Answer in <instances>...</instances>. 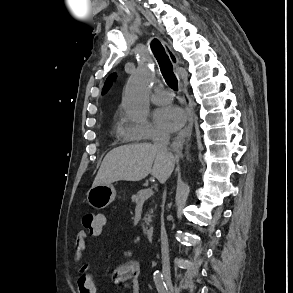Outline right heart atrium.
I'll list each match as a JSON object with an SVG mask.
<instances>
[{
  "label": "right heart atrium",
  "instance_id": "right-heart-atrium-1",
  "mask_svg": "<svg viewBox=\"0 0 293 293\" xmlns=\"http://www.w3.org/2000/svg\"><path fill=\"white\" fill-rule=\"evenodd\" d=\"M123 135L128 140H151L164 138L166 134L148 121L130 122L126 121Z\"/></svg>",
  "mask_w": 293,
  "mask_h": 293
}]
</instances>
